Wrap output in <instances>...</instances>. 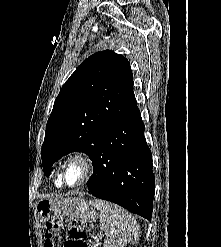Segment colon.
Returning a JSON list of instances; mask_svg holds the SVG:
<instances>
[{"label": "colon", "mask_w": 221, "mask_h": 247, "mask_svg": "<svg viewBox=\"0 0 221 247\" xmlns=\"http://www.w3.org/2000/svg\"><path fill=\"white\" fill-rule=\"evenodd\" d=\"M61 246L87 247L86 233L80 220L69 218L47 222L44 247Z\"/></svg>", "instance_id": "5ec220e1"}]
</instances>
